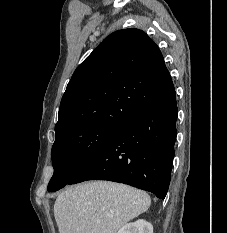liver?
I'll use <instances>...</instances> for the list:
<instances>
[{"instance_id": "6515ba94", "label": "liver", "mask_w": 227, "mask_h": 233, "mask_svg": "<svg viewBox=\"0 0 227 233\" xmlns=\"http://www.w3.org/2000/svg\"><path fill=\"white\" fill-rule=\"evenodd\" d=\"M150 196L133 187L92 181L62 192L54 204L59 233H117L150 207Z\"/></svg>"}]
</instances>
